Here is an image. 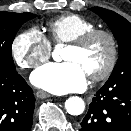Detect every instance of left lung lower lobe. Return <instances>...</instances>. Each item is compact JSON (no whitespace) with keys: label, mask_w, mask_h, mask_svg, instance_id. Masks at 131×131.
<instances>
[{"label":"left lung lower lobe","mask_w":131,"mask_h":131,"mask_svg":"<svg viewBox=\"0 0 131 131\" xmlns=\"http://www.w3.org/2000/svg\"><path fill=\"white\" fill-rule=\"evenodd\" d=\"M79 131H131V84H104L90 103Z\"/></svg>","instance_id":"left-lung-lower-lobe-1"}]
</instances>
